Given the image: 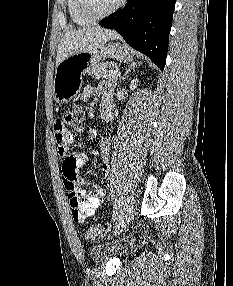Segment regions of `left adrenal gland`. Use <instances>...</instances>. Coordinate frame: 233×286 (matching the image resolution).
I'll use <instances>...</instances> for the list:
<instances>
[{"label":"left adrenal gland","instance_id":"1","mask_svg":"<svg viewBox=\"0 0 233 286\" xmlns=\"http://www.w3.org/2000/svg\"><path fill=\"white\" fill-rule=\"evenodd\" d=\"M138 65H140V63H131V65L128 66V68L125 70L124 74L122 76H120V79H119V83L126 79V76L128 75V73L132 70V69H135Z\"/></svg>","mask_w":233,"mask_h":286}]
</instances>
